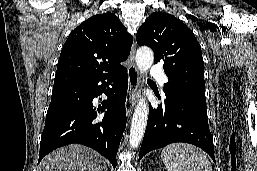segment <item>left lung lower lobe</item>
Returning a JSON list of instances; mask_svg holds the SVG:
<instances>
[{"label":"left lung lower lobe","mask_w":257,"mask_h":171,"mask_svg":"<svg viewBox=\"0 0 257 171\" xmlns=\"http://www.w3.org/2000/svg\"><path fill=\"white\" fill-rule=\"evenodd\" d=\"M164 106L149 108L139 160L151 150L185 142L207 152L215 162L205 96L182 89H167Z\"/></svg>","instance_id":"left-lung-lower-lobe-1"}]
</instances>
